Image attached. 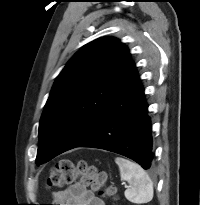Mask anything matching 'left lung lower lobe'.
<instances>
[{"label": "left lung lower lobe", "mask_w": 200, "mask_h": 205, "mask_svg": "<svg viewBox=\"0 0 200 205\" xmlns=\"http://www.w3.org/2000/svg\"><path fill=\"white\" fill-rule=\"evenodd\" d=\"M148 105L136 66L131 62L110 105L76 147L105 149L124 155L144 169L152 167V135Z\"/></svg>", "instance_id": "left-lung-lower-lobe-1"}]
</instances>
